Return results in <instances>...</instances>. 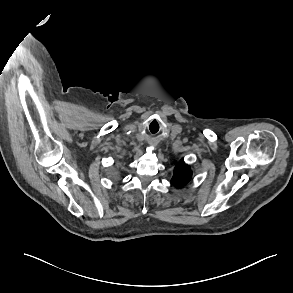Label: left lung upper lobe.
<instances>
[{
	"label": "left lung upper lobe",
	"mask_w": 293,
	"mask_h": 293,
	"mask_svg": "<svg viewBox=\"0 0 293 293\" xmlns=\"http://www.w3.org/2000/svg\"><path fill=\"white\" fill-rule=\"evenodd\" d=\"M191 177L192 172L190 167L182 161L176 165L171 183L175 187L181 188L190 181Z\"/></svg>",
	"instance_id": "left-lung-upper-lobe-1"
}]
</instances>
